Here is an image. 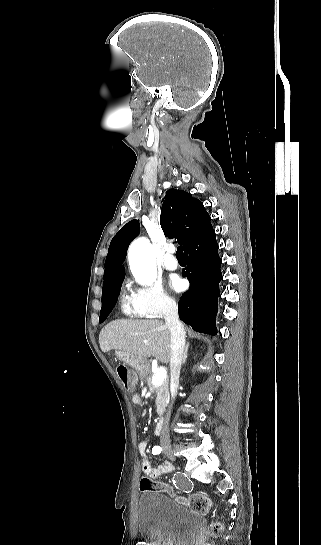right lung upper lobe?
I'll use <instances>...</instances> for the list:
<instances>
[{
    "label": "right lung upper lobe",
    "instance_id": "right-lung-upper-lobe-1",
    "mask_svg": "<svg viewBox=\"0 0 321 545\" xmlns=\"http://www.w3.org/2000/svg\"><path fill=\"white\" fill-rule=\"evenodd\" d=\"M161 228L166 237L176 238L185 247L197 238L210 223V216L203 203L192 195L176 189L167 191L161 209ZM137 220H131L113 237L105 262L102 290L123 282L125 268L122 262L129 243L139 234Z\"/></svg>",
    "mask_w": 321,
    "mask_h": 545
}]
</instances>
